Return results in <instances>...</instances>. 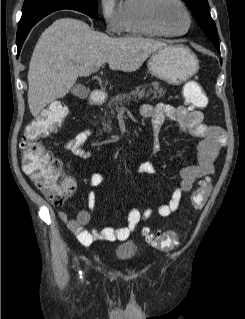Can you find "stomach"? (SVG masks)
<instances>
[{
	"label": "stomach",
	"instance_id": "1",
	"mask_svg": "<svg viewBox=\"0 0 245 319\" xmlns=\"http://www.w3.org/2000/svg\"><path fill=\"white\" fill-rule=\"evenodd\" d=\"M148 69L152 75L170 84H180L199 68L196 55L183 45H166L150 56Z\"/></svg>",
	"mask_w": 245,
	"mask_h": 319
}]
</instances>
